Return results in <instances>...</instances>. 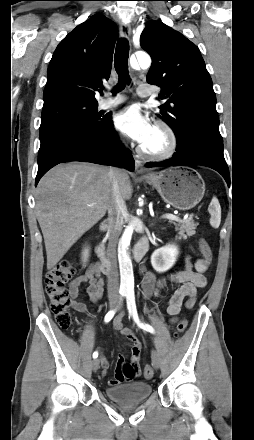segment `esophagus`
<instances>
[{"label": "esophagus", "instance_id": "esophagus-1", "mask_svg": "<svg viewBox=\"0 0 254 440\" xmlns=\"http://www.w3.org/2000/svg\"><path fill=\"white\" fill-rule=\"evenodd\" d=\"M120 33L123 38L129 39L131 36L130 25L128 23H120ZM135 171L138 174H149V172L144 168L142 161L138 158H135Z\"/></svg>", "mask_w": 254, "mask_h": 440}]
</instances>
